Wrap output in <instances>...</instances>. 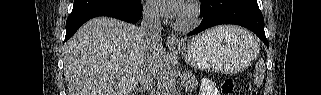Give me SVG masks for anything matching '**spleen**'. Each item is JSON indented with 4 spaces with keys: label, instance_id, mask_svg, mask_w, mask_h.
<instances>
[{
    "label": "spleen",
    "instance_id": "3e777b00",
    "mask_svg": "<svg viewBox=\"0 0 321 95\" xmlns=\"http://www.w3.org/2000/svg\"><path fill=\"white\" fill-rule=\"evenodd\" d=\"M265 74V63L262 58H260L255 66V77H254V84L256 86H260L264 80Z\"/></svg>",
    "mask_w": 321,
    "mask_h": 95
}]
</instances>
